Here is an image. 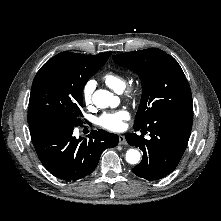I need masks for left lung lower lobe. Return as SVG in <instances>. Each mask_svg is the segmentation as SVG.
<instances>
[{"label": "left lung lower lobe", "instance_id": "0a47b994", "mask_svg": "<svg viewBox=\"0 0 221 221\" xmlns=\"http://www.w3.org/2000/svg\"><path fill=\"white\" fill-rule=\"evenodd\" d=\"M192 113H163L153 118L145 127L134 129L150 132V139L129 133V145L140 147L142 161L133 173L148 180H158L169 175L178 165L189 140Z\"/></svg>", "mask_w": 221, "mask_h": 221}]
</instances>
